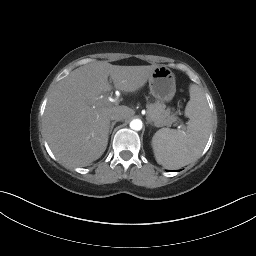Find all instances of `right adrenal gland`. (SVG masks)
Here are the masks:
<instances>
[{
    "label": "right adrenal gland",
    "mask_w": 256,
    "mask_h": 256,
    "mask_svg": "<svg viewBox=\"0 0 256 256\" xmlns=\"http://www.w3.org/2000/svg\"><path fill=\"white\" fill-rule=\"evenodd\" d=\"M116 123H117V121H114V122L111 123V125H110V130H109V134L112 133V130H113V128H114V126H115Z\"/></svg>",
    "instance_id": "1"
}]
</instances>
